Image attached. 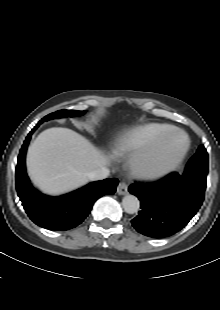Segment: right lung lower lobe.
I'll use <instances>...</instances> for the list:
<instances>
[{"mask_svg":"<svg viewBox=\"0 0 220 310\" xmlns=\"http://www.w3.org/2000/svg\"><path fill=\"white\" fill-rule=\"evenodd\" d=\"M41 123L38 122L28 134L19 152L16 167L17 193L27 215L35 224L49 230H69L84 221L97 199L115 193L118 179L92 182L59 197L46 196L33 188L26 174L25 156L31 135Z\"/></svg>","mask_w":220,"mask_h":310,"instance_id":"right-lung-lower-lobe-1","label":"right lung lower lobe"}]
</instances>
